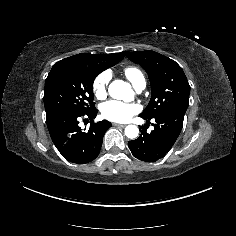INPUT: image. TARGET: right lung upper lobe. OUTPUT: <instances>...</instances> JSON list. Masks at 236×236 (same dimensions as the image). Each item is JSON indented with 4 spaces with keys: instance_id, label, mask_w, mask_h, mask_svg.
<instances>
[{
    "instance_id": "obj_1",
    "label": "right lung upper lobe",
    "mask_w": 236,
    "mask_h": 236,
    "mask_svg": "<svg viewBox=\"0 0 236 236\" xmlns=\"http://www.w3.org/2000/svg\"><path fill=\"white\" fill-rule=\"evenodd\" d=\"M124 52L122 53H113V54H87V53H81L74 56H71L72 58H81V57H92L97 58L102 61H104L109 67L117 64L119 61H121L124 57Z\"/></svg>"
}]
</instances>
